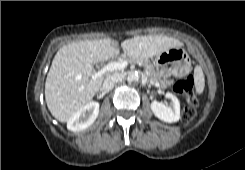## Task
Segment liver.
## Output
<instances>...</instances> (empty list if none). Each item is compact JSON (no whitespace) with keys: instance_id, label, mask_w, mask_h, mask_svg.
I'll use <instances>...</instances> for the list:
<instances>
[{"instance_id":"obj_1","label":"liver","mask_w":245,"mask_h":170,"mask_svg":"<svg viewBox=\"0 0 245 170\" xmlns=\"http://www.w3.org/2000/svg\"><path fill=\"white\" fill-rule=\"evenodd\" d=\"M179 40L165 35L135 36L121 43L128 57L152 58L170 48L182 46ZM118 42L110 38L72 42L61 47L45 82V100L52 116L64 123L88 103L101 88L105 75L93 65L119 54ZM91 65V67H89ZM109 76V74H107Z\"/></svg>"}]
</instances>
